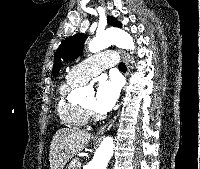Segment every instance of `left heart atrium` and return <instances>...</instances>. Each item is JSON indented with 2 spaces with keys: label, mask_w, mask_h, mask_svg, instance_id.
I'll return each instance as SVG.
<instances>
[{
  "label": "left heart atrium",
  "mask_w": 200,
  "mask_h": 169,
  "mask_svg": "<svg viewBox=\"0 0 200 169\" xmlns=\"http://www.w3.org/2000/svg\"><path fill=\"white\" fill-rule=\"evenodd\" d=\"M120 94V84L115 79H104L100 81L96 95V110L105 114L109 112L116 104Z\"/></svg>",
  "instance_id": "1"
}]
</instances>
